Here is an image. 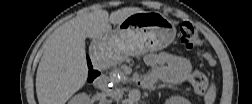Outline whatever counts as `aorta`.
<instances>
[{
	"label": "aorta",
	"mask_w": 252,
	"mask_h": 104,
	"mask_svg": "<svg viewBox=\"0 0 252 104\" xmlns=\"http://www.w3.org/2000/svg\"><path fill=\"white\" fill-rule=\"evenodd\" d=\"M128 98L131 102L137 103L141 98V93L138 89H131L128 93Z\"/></svg>",
	"instance_id": "aorta-1"
}]
</instances>
